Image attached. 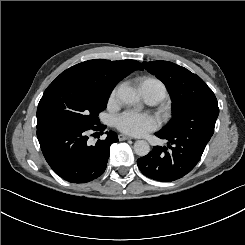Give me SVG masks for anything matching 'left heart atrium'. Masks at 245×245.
Listing matches in <instances>:
<instances>
[{"label":"left heart atrium","mask_w":245,"mask_h":245,"mask_svg":"<svg viewBox=\"0 0 245 245\" xmlns=\"http://www.w3.org/2000/svg\"><path fill=\"white\" fill-rule=\"evenodd\" d=\"M117 127L128 135L141 136L156 126V120L144 113L127 111L117 117Z\"/></svg>","instance_id":"obj_1"}]
</instances>
